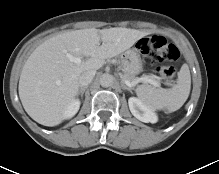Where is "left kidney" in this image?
Instances as JSON below:
<instances>
[{"label": "left kidney", "mask_w": 219, "mask_h": 174, "mask_svg": "<svg viewBox=\"0 0 219 174\" xmlns=\"http://www.w3.org/2000/svg\"><path fill=\"white\" fill-rule=\"evenodd\" d=\"M129 109L134 117L145 123H156L158 118L155 112L136 97L128 100Z\"/></svg>", "instance_id": "5707ae66"}]
</instances>
